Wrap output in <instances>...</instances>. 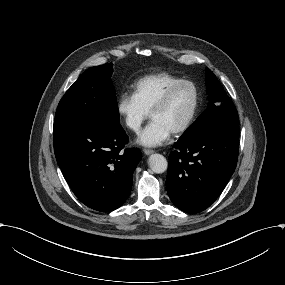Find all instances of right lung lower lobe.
Here are the masks:
<instances>
[{
    "label": "right lung lower lobe",
    "instance_id": "1",
    "mask_svg": "<svg viewBox=\"0 0 285 285\" xmlns=\"http://www.w3.org/2000/svg\"><path fill=\"white\" fill-rule=\"evenodd\" d=\"M53 139L63 176L83 204L107 212L124 203L142 156L137 148L122 151L128 136L120 124L54 122Z\"/></svg>",
    "mask_w": 285,
    "mask_h": 285
}]
</instances>
